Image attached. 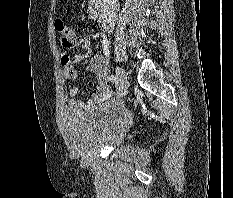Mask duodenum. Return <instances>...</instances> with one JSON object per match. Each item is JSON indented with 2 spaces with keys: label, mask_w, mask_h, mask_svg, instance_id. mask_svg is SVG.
I'll use <instances>...</instances> for the list:
<instances>
[{
  "label": "duodenum",
  "mask_w": 233,
  "mask_h": 198,
  "mask_svg": "<svg viewBox=\"0 0 233 198\" xmlns=\"http://www.w3.org/2000/svg\"><path fill=\"white\" fill-rule=\"evenodd\" d=\"M101 2L100 0H91L88 6V16L90 19L103 22V17L101 13Z\"/></svg>",
  "instance_id": "obj_1"
}]
</instances>
